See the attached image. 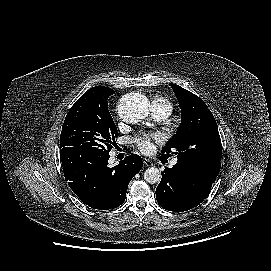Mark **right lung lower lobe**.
I'll return each mask as SVG.
<instances>
[{
	"instance_id": "1",
	"label": "right lung lower lobe",
	"mask_w": 271,
	"mask_h": 271,
	"mask_svg": "<svg viewBox=\"0 0 271 271\" xmlns=\"http://www.w3.org/2000/svg\"><path fill=\"white\" fill-rule=\"evenodd\" d=\"M109 153L87 151L76 147L60 148L66 181L87 206L109 210L123 204L131 179L141 170L140 156L133 154L109 167Z\"/></svg>"
}]
</instances>
